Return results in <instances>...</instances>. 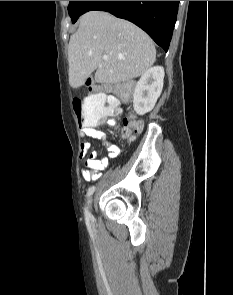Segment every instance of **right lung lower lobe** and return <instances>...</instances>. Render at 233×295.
<instances>
[{
  "mask_svg": "<svg viewBox=\"0 0 233 295\" xmlns=\"http://www.w3.org/2000/svg\"><path fill=\"white\" fill-rule=\"evenodd\" d=\"M179 1H86L81 14L106 11L129 20L168 50L176 22Z\"/></svg>",
  "mask_w": 233,
  "mask_h": 295,
  "instance_id": "right-lung-lower-lobe-1",
  "label": "right lung lower lobe"
}]
</instances>
